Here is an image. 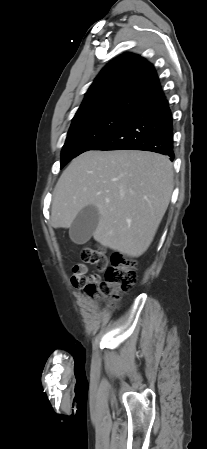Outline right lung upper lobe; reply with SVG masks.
Listing matches in <instances>:
<instances>
[{
  "label": "right lung upper lobe",
  "mask_w": 207,
  "mask_h": 449,
  "mask_svg": "<svg viewBox=\"0 0 207 449\" xmlns=\"http://www.w3.org/2000/svg\"><path fill=\"white\" fill-rule=\"evenodd\" d=\"M163 96L153 65L138 55L124 54L101 70L74 118L113 109L136 112Z\"/></svg>",
  "instance_id": "1"
}]
</instances>
